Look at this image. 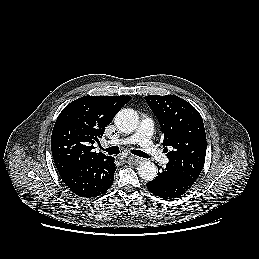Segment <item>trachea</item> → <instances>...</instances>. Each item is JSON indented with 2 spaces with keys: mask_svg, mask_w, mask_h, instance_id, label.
I'll use <instances>...</instances> for the list:
<instances>
[{
  "mask_svg": "<svg viewBox=\"0 0 259 259\" xmlns=\"http://www.w3.org/2000/svg\"><path fill=\"white\" fill-rule=\"evenodd\" d=\"M103 151H106L109 155H116V154H119V148L117 146H112V147H109V148H101ZM131 153L134 154V155H137L139 157H142V158H150V156L140 150H131Z\"/></svg>",
  "mask_w": 259,
  "mask_h": 259,
  "instance_id": "obj_1",
  "label": "trachea"
}]
</instances>
